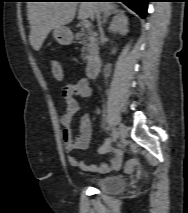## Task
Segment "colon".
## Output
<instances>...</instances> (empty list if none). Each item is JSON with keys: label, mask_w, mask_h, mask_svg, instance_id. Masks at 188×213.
<instances>
[{"label": "colon", "mask_w": 188, "mask_h": 213, "mask_svg": "<svg viewBox=\"0 0 188 213\" xmlns=\"http://www.w3.org/2000/svg\"><path fill=\"white\" fill-rule=\"evenodd\" d=\"M50 68L51 71L53 73V75L57 78V79H63L64 78V72H63V68L62 65L59 61L57 60H51L50 61ZM136 164L135 160H129L126 164V169L128 171H130L132 169V167Z\"/></svg>", "instance_id": "1"}]
</instances>
